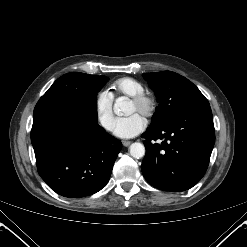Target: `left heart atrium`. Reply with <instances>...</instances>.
Listing matches in <instances>:
<instances>
[{
	"label": "left heart atrium",
	"instance_id": "obj_1",
	"mask_svg": "<svg viewBox=\"0 0 247 247\" xmlns=\"http://www.w3.org/2000/svg\"><path fill=\"white\" fill-rule=\"evenodd\" d=\"M145 127V119L140 114L133 113L127 117L117 119L113 132L119 138L128 139L137 136Z\"/></svg>",
	"mask_w": 247,
	"mask_h": 247
}]
</instances>
